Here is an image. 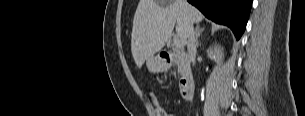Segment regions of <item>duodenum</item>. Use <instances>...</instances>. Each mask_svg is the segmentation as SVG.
<instances>
[{
	"label": "duodenum",
	"instance_id": "duodenum-1",
	"mask_svg": "<svg viewBox=\"0 0 305 116\" xmlns=\"http://www.w3.org/2000/svg\"><path fill=\"white\" fill-rule=\"evenodd\" d=\"M162 58L168 63L178 61L184 68V73L180 82V92L185 101H189L193 97L195 81L194 77L188 69L189 60L185 55H174L171 52L162 53Z\"/></svg>",
	"mask_w": 305,
	"mask_h": 116
}]
</instances>
